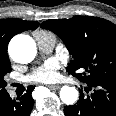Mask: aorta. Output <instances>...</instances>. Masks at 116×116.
Here are the masks:
<instances>
[{
    "instance_id": "obj_1",
    "label": "aorta",
    "mask_w": 116,
    "mask_h": 116,
    "mask_svg": "<svg viewBox=\"0 0 116 116\" xmlns=\"http://www.w3.org/2000/svg\"><path fill=\"white\" fill-rule=\"evenodd\" d=\"M37 53L34 40L27 35L15 36L9 43L10 57L18 63L31 62ZM61 101L66 105H73L78 100V91L75 87L63 86L60 90Z\"/></svg>"
}]
</instances>
